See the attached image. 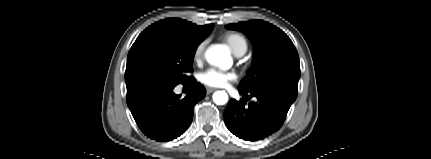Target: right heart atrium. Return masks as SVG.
Masks as SVG:
<instances>
[{
	"label": "right heart atrium",
	"mask_w": 431,
	"mask_h": 159,
	"mask_svg": "<svg viewBox=\"0 0 431 159\" xmlns=\"http://www.w3.org/2000/svg\"><path fill=\"white\" fill-rule=\"evenodd\" d=\"M206 46V40L201 41L194 49L193 58L195 61H200L203 57Z\"/></svg>",
	"instance_id": "d8ad5b80"
}]
</instances>
